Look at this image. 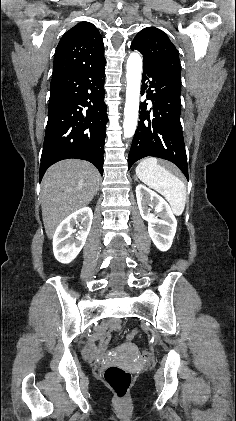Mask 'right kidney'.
I'll use <instances>...</instances> for the list:
<instances>
[{
	"mask_svg": "<svg viewBox=\"0 0 236 421\" xmlns=\"http://www.w3.org/2000/svg\"><path fill=\"white\" fill-rule=\"evenodd\" d=\"M93 221V213L89 206L79 208L69 217H66L55 231L53 237V253L55 259L59 263H71L79 255L81 249L85 245V241L90 233ZM76 237H72V233H76Z\"/></svg>",
	"mask_w": 236,
	"mask_h": 421,
	"instance_id": "right-kidney-1",
	"label": "right kidney"
}]
</instances>
